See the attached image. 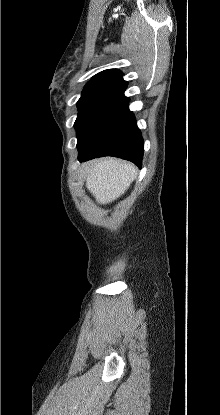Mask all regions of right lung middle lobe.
<instances>
[{"label": "right lung middle lobe", "instance_id": "right-lung-middle-lobe-1", "mask_svg": "<svg viewBox=\"0 0 220 415\" xmlns=\"http://www.w3.org/2000/svg\"><path fill=\"white\" fill-rule=\"evenodd\" d=\"M127 84L115 80L89 82L79 99L74 127L78 150H87L108 121L129 102L124 95Z\"/></svg>", "mask_w": 220, "mask_h": 415}]
</instances>
